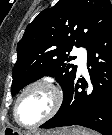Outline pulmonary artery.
<instances>
[{
	"mask_svg": "<svg viewBox=\"0 0 112 135\" xmlns=\"http://www.w3.org/2000/svg\"><path fill=\"white\" fill-rule=\"evenodd\" d=\"M77 54L76 63L80 71L84 72L86 70V60L87 55L85 51H80Z\"/></svg>",
	"mask_w": 112,
	"mask_h": 135,
	"instance_id": "e3ab8cb5",
	"label": "pulmonary artery"
}]
</instances>
